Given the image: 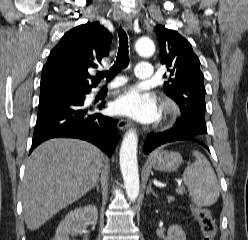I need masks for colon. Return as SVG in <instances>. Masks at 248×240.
I'll return each mask as SVG.
<instances>
[{"label":"colon","mask_w":248,"mask_h":240,"mask_svg":"<svg viewBox=\"0 0 248 240\" xmlns=\"http://www.w3.org/2000/svg\"><path fill=\"white\" fill-rule=\"evenodd\" d=\"M192 214L199 223L203 240H214L217 233V224L212 213L202 207H193Z\"/></svg>","instance_id":"1"}]
</instances>
